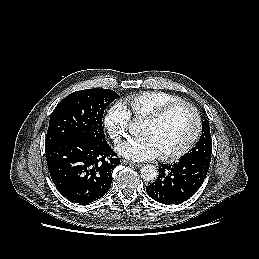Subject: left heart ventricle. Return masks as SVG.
Returning <instances> with one entry per match:
<instances>
[{
	"label": "left heart ventricle",
	"mask_w": 259,
	"mask_h": 259,
	"mask_svg": "<svg viewBox=\"0 0 259 259\" xmlns=\"http://www.w3.org/2000/svg\"><path fill=\"white\" fill-rule=\"evenodd\" d=\"M195 117L187 107H179L156 124L143 122L140 134L149 136L158 153H167L180 148L192 135Z\"/></svg>",
	"instance_id": "obj_1"
}]
</instances>
